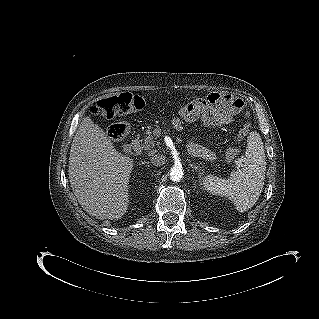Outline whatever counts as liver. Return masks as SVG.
I'll list each match as a JSON object with an SVG mask.
<instances>
[{
  "label": "liver",
  "instance_id": "liver-1",
  "mask_svg": "<svg viewBox=\"0 0 319 319\" xmlns=\"http://www.w3.org/2000/svg\"><path fill=\"white\" fill-rule=\"evenodd\" d=\"M133 164L90 117L82 119L72 141L68 173L72 191L86 212L111 220L127 212Z\"/></svg>",
  "mask_w": 319,
  "mask_h": 319
}]
</instances>
